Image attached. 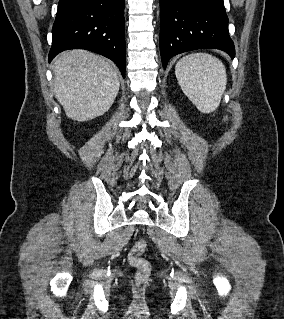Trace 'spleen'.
Wrapping results in <instances>:
<instances>
[{
  "mask_svg": "<svg viewBox=\"0 0 284 319\" xmlns=\"http://www.w3.org/2000/svg\"><path fill=\"white\" fill-rule=\"evenodd\" d=\"M175 75L185 95L202 113L217 109L226 89L223 63L207 53H192L175 65Z\"/></svg>",
  "mask_w": 284,
  "mask_h": 319,
  "instance_id": "spleen-1",
  "label": "spleen"
}]
</instances>
